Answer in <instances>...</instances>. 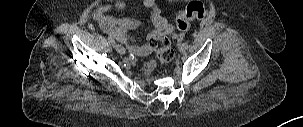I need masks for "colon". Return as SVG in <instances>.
<instances>
[{
    "instance_id": "colon-1",
    "label": "colon",
    "mask_w": 303,
    "mask_h": 127,
    "mask_svg": "<svg viewBox=\"0 0 303 127\" xmlns=\"http://www.w3.org/2000/svg\"><path fill=\"white\" fill-rule=\"evenodd\" d=\"M206 15V8L201 2H191L176 16V27L184 32L189 28V22L192 20H201ZM150 48L155 52V59L146 61L141 67V72L146 75H152L155 70L168 63L173 58L170 38L167 35H158L149 40Z\"/></svg>"
}]
</instances>
